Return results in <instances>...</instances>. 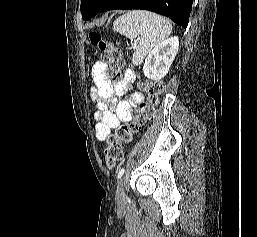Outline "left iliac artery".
I'll return each instance as SVG.
<instances>
[{
	"label": "left iliac artery",
	"mask_w": 257,
	"mask_h": 237,
	"mask_svg": "<svg viewBox=\"0 0 257 237\" xmlns=\"http://www.w3.org/2000/svg\"><path fill=\"white\" fill-rule=\"evenodd\" d=\"M124 172H125V169H124V168H121V169L119 170V172H118L117 179H120V178L123 176Z\"/></svg>",
	"instance_id": "left-iliac-artery-1"
}]
</instances>
